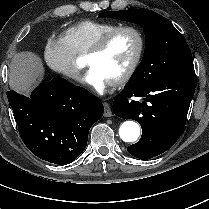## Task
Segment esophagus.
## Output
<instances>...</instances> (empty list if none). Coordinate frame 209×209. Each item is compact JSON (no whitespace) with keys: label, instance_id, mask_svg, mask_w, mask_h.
I'll use <instances>...</instances> for the list:
<instances>
[{"label":"esophagus","instance_id":"esophagus-1","mask_svg":"<svg viewBox=\"0 0 209 209\" xmlns=\"http://www.w3.org/2000/svg\"><path fill=\"white\" fill-rule=\"evenodd\" d=\"M103 105H104V116L111 117L112 111L110 105L107 102H104Z\"/></svg>","mask_w":209,"mask_h":209}]
</instances>
